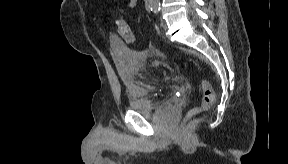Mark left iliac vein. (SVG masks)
Returning <instances> with one entry per match:
<instances>
[{"mask_svg": "<svg viewBox=\"0 0 288 164\" xmlns=\"http://www.w3.org/2000/svg\"><path fill=\"white\" fill-rule=\"evenodd\" d=\"M160 26L161 27H163V28H165L166 27V23H165V21L162 19V18H160Z\"/></svg>", "mask_w": 288, "mask_h": 164, "instance_id": "1", "label": "left iliac vein"}]
</instances>
